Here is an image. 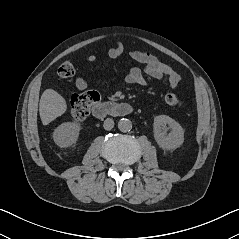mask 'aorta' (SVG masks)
<instances>
[{"mask_svg": "<svg viewBox=\"0 0 239 239\" xmlns=\"http://www.w3.org/2000/svg\"><path fill=\"white\" fill-rule=\"evenodd\" d=\"M118 128L121 132H129L132 129V122L123 118L118 122Z\"/></svg>", "mask_w": 239, "mask_h": 239, "instance_id": "762f6f07", "label": "aorta"}]
</instances>
